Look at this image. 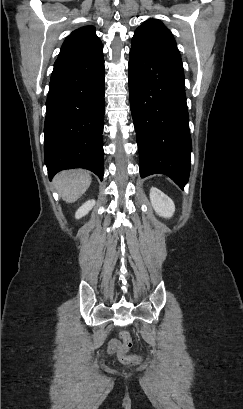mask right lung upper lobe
Returning a JSON list of instances; mask_svg holds the SVG:
<instances>
[{
	"mask_svg": "<svg viewBox=\"0 0 243 409\" xmlns=\"http://www.w3.org/2000/svg\"><path fill=\"white\" fill-rule=\"evenodd\" d=\"M101 46L93 26L81 27L66 38L54 65L88 55Z\"/></svg>",
	"mask_w": 243,
	"mask_h": 409,
	"instance_id": "right-lung-upper-lobe-1",
	"label": "right lung upper lobe"
}]
</instances>
